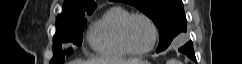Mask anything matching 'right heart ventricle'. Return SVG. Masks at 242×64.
I'll list each match as a JSON object with an SVG mask.
<instances>
[{
    "instance_id": "1",
    "label": "right heart ventricle",
    "mask_w": 242,
    "mask_h": 64,
    "mask_svg": "<svg viewBox=\"0 0 242 64\" xmlns=\"http://www.w3.org/2000/svg\"><path fill=\"white\" fill-rule=\"evenodd\" d=\"M130 12L121 6H113L93 23L88 31V42L99 55L109 58H123L130 55L120 40V27Z\"/></svg>"
}]
</instances>
